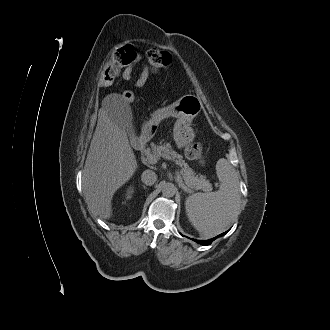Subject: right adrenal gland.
I'll return each instance as SVG.
<instances>
[{
	"label": "right adrenal gland",
	"mask_w": 330,
	"mask_h": 330,
	"mask_svg": "<svg viewBox=\"0 0 330 330\" xmlns=\"http://www.w3.org/2000/svg\"><path fill=\"white\" fill-rule=\"evenodd\" d=\"M142 187H143L144 189H147V187H146L145 185H142Z\"/></svg>",
	"instance_id": "right-adrenal-gland-1"
}]
</instances>
